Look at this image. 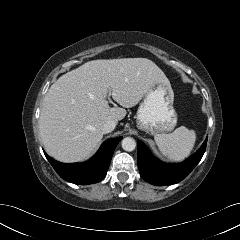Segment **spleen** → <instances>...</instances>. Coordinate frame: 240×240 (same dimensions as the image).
I'll use <instances>...</instances> for the list:
<instances>
[{
	"label": "spleen",
	"instance_id": "3e777b00",
	"mask_svg": "<svg viewBox=\"0 0 240 240\" xmlns=\"http://www.w3.org/2000/svg\"><path fill=\"white\" fill-rule=\"evenodd\" d=\"M154 139L163 156L178 162L190 155L196 142V132L181 126L170 134H156Z\"/></svg>",
	"mask_w": 240,
	"mask_h": 240
}]
</instances>
